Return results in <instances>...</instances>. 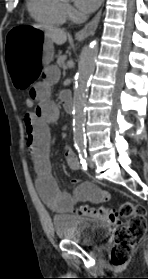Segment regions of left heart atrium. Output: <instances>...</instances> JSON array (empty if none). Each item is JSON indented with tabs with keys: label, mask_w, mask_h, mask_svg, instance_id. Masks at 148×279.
Wrapping results in <instances>:
<instances>
[{
	"label": "left heart atrium",
	"mask_w": 148,
	"mask_h": 279,
	"mask_svg": "<svg viewBox=\"0 0 148 279\" xmlns=\"http://www.w3.org/2000/svg\"><path fill=\"white\" fill-rule=\"evenodd\" d=\"M101 1L102 0H74L76 7L84 13L94 11Z\"/></svg>",
	"instance_id": "obj_1"
}]
</instances>
